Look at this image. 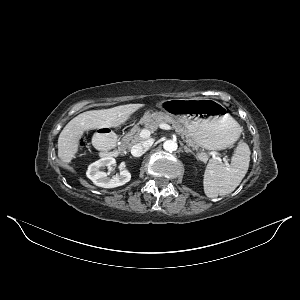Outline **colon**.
I'll use <instances>...</instances> for the list:
<instances>
[{
  "instance_id": "5ec220e1",
  "label": "colon",
  "mask_w": 300,
  "mask_h": 300,
  "mask_svg": "<svg viewBox=\"0 0 300 300\" xmlns=\"http://www.w3.org/2000/svg\"><path fill=\"white\" fill-rule=\"evenodd\" d=\"M85 142H86V140L84 139V138H82L81 140H80V145H84L85 144Z\"/></svg>"
}]
</instances>
